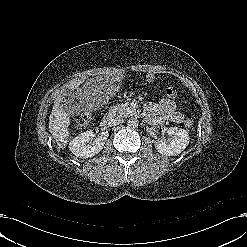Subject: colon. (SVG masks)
Here are the masks:
<instances>
[{
  "mask_svg": "<svg viewBox=\"0 0 247 247\" xmlns=\"http://www.w3.org/2000/svg\"><path fill=\"white\" fill-rule=\"evenodd\" d=\"M178 90L174 86H169L165 90V94L167 97L173 98L177 95ZM182 118L184 123L187 126H192L194 123L193 118L190 116L188 112L182 113ZM92 120V115L88 112L82 113L79 117H77L75 126L76 127H84Z\"/></svg>",
  "mask_w": 247,
  "mask_h": 247,
  "instance_id": "colon-1",
  "label": "colon"
}]
</instances>
